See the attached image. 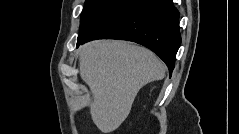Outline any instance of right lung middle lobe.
<instances>
[{
	"instance_id": "dd1d6c3e",
	"label": "right lung middle lobe",
	"mask_w": 239,
	"mask_h": 134,
	"mask_svg": "<svg viewBox=\"0 0 239 134\" xmlns=\"http://www.w3.org/2000/svg\"><path fill=\"white\" fill-rule=\"evenodd\" d=\"M123 0H86L81 21L79 37H85L94 26Z\"/></svg>"
}]
</instances>
